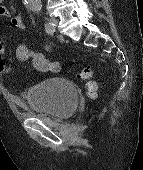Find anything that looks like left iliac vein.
Listing matches in <instances>:
<instances>
[{"label":"left iliac vein","mask_w":143,"mask_h":170,"mask_svg":"<svg viewBox=\"0 0 143 170\" xmlns=\"http://www.w3.org/2000/svg\"><path fill=\"white\" fill-rule=\"evenodd\" d=\"M48 23L57 26L58 20L57 19H51Z\"/></svg>","instance_id":"obj_1"}]
</instances>
